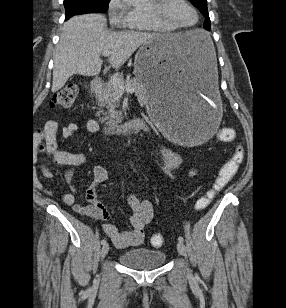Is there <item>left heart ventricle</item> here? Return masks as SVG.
<instances>
[{"label":"left heart ventricle","mask_w":286,"mask_h":308,"mask_svg":"<svg viewBox=\"0 0 286 308\" xmlns=\"http://www.w3.org/2000/svg\"><path fill=\"white\" fill-rule=\"evenodd\" d=\"M153 3L148 9L152 7ZM167 14L171 20L179 25H191L196 20V15L194 11L188 7L182 0H171L168 8Z\"/></svg>","instance_id":"1"}]
</instances>
